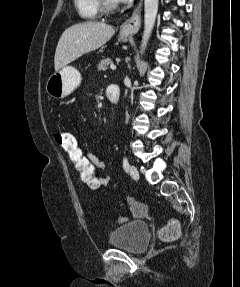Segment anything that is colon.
I'll return each instance as SVG.
<instances>
[{"mask_svg":"<svg viewBox=\"0 0 240 287\" xmlns=\"http://www.w3.org/2000/svg\"><path fill=\"white\" fill-rule=\"evenodd\" d=\"M55 141L66 156L68 163L78 175L79 179L91 189H98L102 186L101 176L97 168L90 162L86 152L79 146L75 136L70 132L61 131L55 135ZM144 212H139L141 216ZM126 221L124 216L118 217V222ZM181 235V227L177 220L171 219L159 231V238L165 242L177 240Z\"/></svg>","mask_w":240,"mask_h":287,"instance_id":"1","label":"colon"}]
</instances>
